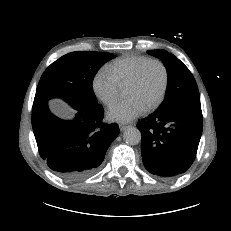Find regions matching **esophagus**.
Returning a JSON list of instances; mask_svg holds the SVG:
<instances>
[{
  "label": "esophagus",
  "mask_w": 231,
  "mask_h": 231,
  "mask_svg": "<svg viewBox=\"0 0 231 231\" xmlns=\"http://www.w3.org/2000/svg\"><path fill=\"white\" fill-rule=\"evenodd\" d=\"M130 125L129 124H119L120 131L126 130Z\"/></svg>",
  "instance_id": "34e87169"
}]
</instances>
